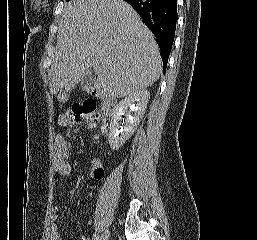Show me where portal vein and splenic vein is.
Segmentation results:
<instances>
[{
  "instance_id": "portal-vein-and-splenic-vein-1",
  "label": "portal vein and splenic vein",
  "mask_w": 257,
  "mask_h": 240,
  "mask_svg": "<svg viewBox=\"0 0 257 240\" xmlns=\"http://www.w3.org/2000/svg\"><path fill=\"white\" fill-rule=\"evenodd\" d=\"M93 68L96 72L100 71V66H99V63H94L93 64Z\"/></svg>"
}]
</instances>
